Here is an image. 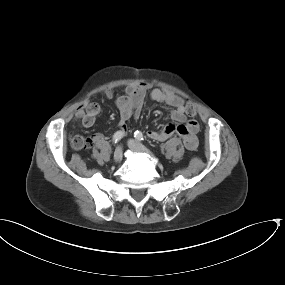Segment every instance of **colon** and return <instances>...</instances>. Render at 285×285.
Returning <instances> with one entry per match:
<instances>
[{
    "mask_svg": "<svg viewBox=\"0 0 285 285\" xmlns=\"http://www.w3.org/2000/svg\"><path fill=\"white\" fill-rule=\"evenodd\" d=\"M196 112H197V110L193 105L190 104L187 106V114L189 116H194L196 114ZM72 143L76 149L88 148L89 144H90L88 137H85L83 135H76L73 138Z\"/></svg>",
    "mask_w": 285,
    "mask_h": 285,
    "instance_id": "5ec220e1",
    "label": "colon"
}]
</instances>
